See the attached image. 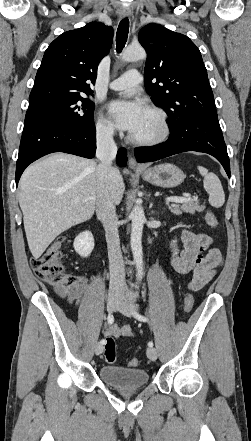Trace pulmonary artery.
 Listing matches in <instances>:
<instances>
[{
	"label": "pulmonary artery",
	"mask_w": 251,
	"mask_h": 441,
	"mask_svg": "<svg viewBox=\"0 0 251 441\" xmlns=\"http://www.w3.org/2000/svg\"><path fill=\"white\" fill-rule=\"evenodd\" d=\"M142 82V75L137 70H129L121 77L110 83V88L116 91L130 90Z\"/></svg>",
	"instance_id": "obj_1"
}]
</instances>
